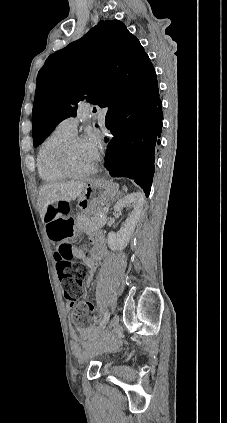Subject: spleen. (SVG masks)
<instances>
[{
	"label": "spleen",
	"mask_w": 227,
	"mask_h": 423,
	"mask_svg": "<svg viewBox=\"0 0 227 423\" xmlns=\"http://www.w3.org/2000/svg\"><path fill=\"white\" fill-rule=\"evenodd\" d=\"M125 192H127V188H124Z\"/></svg>",
	"instance_id": "spleen-1"
}]
</instances>
